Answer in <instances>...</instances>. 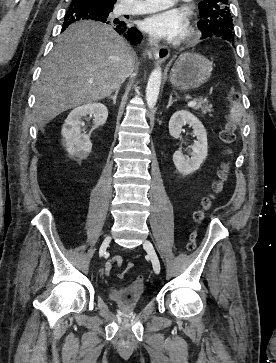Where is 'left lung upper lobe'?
I'll list each match as a JSON object with an SVG mask.
<instances>
[{"label":"left lung upper lobe","instance_id":"obj_1","mask_svg":"<svg viewBox=\"0 0 276 363\" xmlns=\"http://www.w3.org/2000/svg\"><path fill=\"white\" fill-rule=\"evenodd\" d=\"M201 20L198 22L203 38L234 39V27L228 0H204L199 3Z\"/></svg>","mask_w":276,"mask_h":363}]
</instances>
